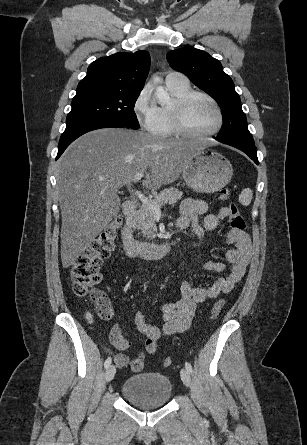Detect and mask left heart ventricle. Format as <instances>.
Returning <instances> with one entry per match:
<instances>
[{"mask_svg":"<svg viewBox=\"0 0 307 445\" xmlns=\"http://www.w3.org/2000/svg\"><path fill=\"white\" fill-rule=\"evenodd\" d=\"M186 120L194 131L207 132L217 127L219 114L214 105L198 98L187 107Z\"/></svg>","mask_w":307,"mask_h":445,"instance_id":"obj_1","label":"left heart ventricle"}]
</instances>
